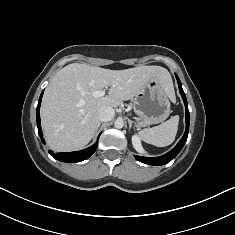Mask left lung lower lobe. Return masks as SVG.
Listing matches in <instances>:
<instances>
[{
    "label": "left lung lower lobe",
    "mask_w": 235,
    "mask_h": 235,
    "mask_svg": "<svg viewBox=\"0 0 235 235\" xmlns=\"http://www.w3.org/2000/svg\"><path fill=\"white\" fill-rule=\"evenodd\" d=\"M176 79H177V82H178L180 94H181L182 99H183L184 104H185V110H186V130H185V133H184L182 139L178 142V144L171 151L166 153L165 155H162V156H159V157H152V158L136 156L135 155V158L138 161L142 162V163L149 164V165H164V164H167L168 162H170L172 159H174L177 156V154L181 151V149L183 148V146H184V144L187 140L188 133H189L188 103H187V100H186L185 93L182 89L181 82H180L177 75H176Z\"/></svg>",
    "instance_id": "left-lung-lower-lobe-1"
}]
</instances>
